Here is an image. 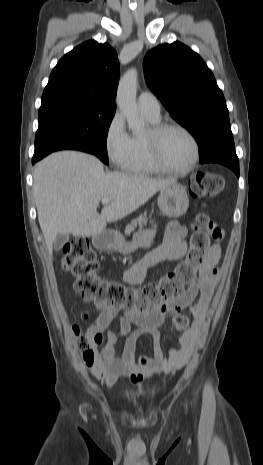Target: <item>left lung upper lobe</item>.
I'll use <instances>...</instances> for the list:
<instances>
[{
	"label": "left lung upper lobe",
	"mask_w": 263,
	"mask_h": 465,
	"mask_svg": "<svg viewBox=\"0 0 263 465\" xmlns=\"http://www.w3.org/2000/svg\"><path fill=\"white\" fill-rule=\"evenodd\" d=\"M143 65L148 87L196 139L201 161L235 150L225 98L196 52L180 42L162 44L146 54Z\"/></svg>",
	"instance_id": "5c2ea615"
}]
</instances>
